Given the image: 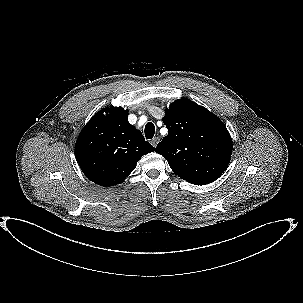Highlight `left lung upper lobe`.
I'll return each instance as SVG.
<instances>
[{
  "instance_id": "1",
  "label": "left lung upper lobe",
  "mask_w": 303,
  "mask_h": 303,
  "mask_svg": "<svg viewBox=\"0 0 303 303\" xmlns=\"http://www.w3.org/2000/svg\"><path fill=\"white\" fill-rule=\"evenodd\" d=\"M163 123L168 135L155 151L164 156L176 175L196 185L211 183L222 175L233 145L217 116L189 99H180L167 109Z\"/></svg>"
}]
</instances>
